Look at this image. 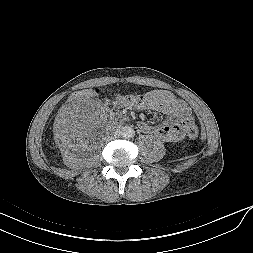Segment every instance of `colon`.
I'll use <instances>...</instances> for the list:
<instances>
[{"label":"colon","instance_id":"1","mask_svg":"<svg viewBox=\"0 0 253 253\" xmlns=\"http://www.w3.org/2000/svg\"><path fill=\"white\" fill-rule=\"evenodd\" d=\"M98 91L97 89H87V90H79L72 92L67 96L68 102H73L74 100L80 99V98H90L91 96L97 95ZM199 134V130L196 125L191 124L187 129V135L189 138H196Z\"/></svg>","mask_w":253,"mask_h":253}]
</instances>
